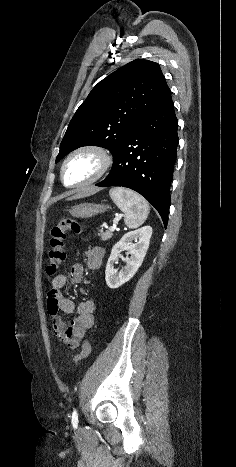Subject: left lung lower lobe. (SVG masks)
<instances>
[{
	"instance_id": "0a47b994",
	"label": "left lung lower lobe",
	"mask_w": 236,
	"mask_h": 467,
	"mask_svg": "<svg viewBox=\"0 0 236 467\" xmlns=\"http://www.w3.org/2000/svg\"><path fill=\"white\" fill-rule=\"evenodd\" d=\"M178 120L169 91L128 133L109 175L96 186H123L144 196L164 226L171 205L170 184L178 145Z\"/></svg>"
}]
</instances>
